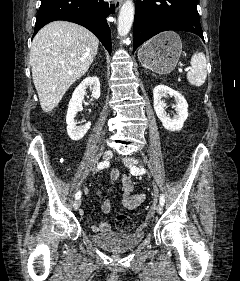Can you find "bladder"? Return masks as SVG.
Instances as JSON below:
<instances>
[{
	"label": "bladder",
	"instance_id": "bladder-1",
	"mask_svg": "<svg viewBox=\"0 0 240 281\" xmlns=\"http://www.w3.org/2000/svg\"><path fill=\"white\" fill-rule=\"evenodd\" d=\"M144 238L141 231H106L90 235L91 241L98 247L110 252H123L137 247Z\"/></svg>",
	"mask_w": 240,
	"mask_h": 281
}]
</instances>
